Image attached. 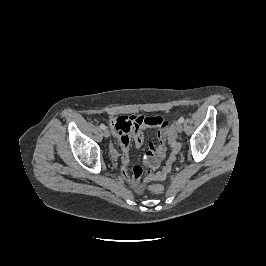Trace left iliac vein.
Listing matches in <instances>:
<instances>
[{"instance_id":"4c4485c4","label":"left iliac vein","mask_w":266,"mask_h":266,"mask_svg":"<svg viewBox=\"0 0 266 266\" xmlns=\"http://www.w3.org/2000/svg\"><path fill=\"white\" fill-rule=\"evenodd\" d=\"M175 129H176V131H177L178 133H181V132L183 131V125H182L180 122H178V123L176 124Z\"/></svg>"}]
</instances>
